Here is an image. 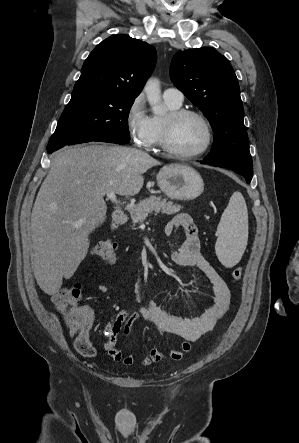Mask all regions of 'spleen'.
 <instances>
[{
  "label": "spleen",
  "instance_id": "1",
  "mask_svg": "<svg viewBox=\"0 0 299 443\" xmlns=\"http://www.w3.org/2000/svg\"><path fill=\"white\" fill-rule=\"evenodd\" d=\"M215 251L225 267L235 266L242 258L248 240V210L240 192H234L217 227Z\"/></svg>",
  "mask_w": 299,
  "mask_h": 443
}]
</instances>
